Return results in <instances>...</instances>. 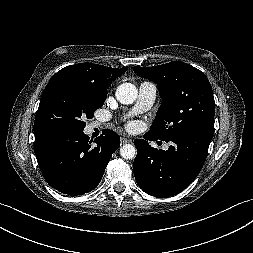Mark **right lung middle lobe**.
I'll return each mask as SVG.
<instances>
[{
  "mask_svg": "<svg viewBox=\"0 0 253 253\" xmlns=\"http://www.w3.org/2000/svg\"><path fill=\"white\" fill-rule=\"evenodd\" d=\"M107 97V91L71 79H54L47 84L36 113L34 134L51 130L81 132L85 118L91 119Z\"/></svg>",
  "mask_w": 253,
  "mask_h": 253,
  "instance_id": "obj_1",
  "label": "right lung middle lobe"
}]
</instances>
